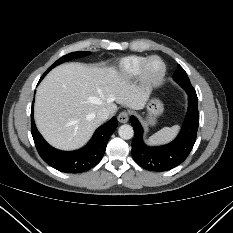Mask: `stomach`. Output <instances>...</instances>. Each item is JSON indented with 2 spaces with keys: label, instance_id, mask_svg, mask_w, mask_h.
I'll return each mask as SVG.
<instances>
[{
  "label": "stomach",
  "instance_id": "1",
  "mask_svg": "<svg viewBox=\"0 0 233 233\" xmlns=\"http://www.w3.org/2000/svg\"><path fill=\"white\" fill-rule=\"evenodd\" d=\"M163 112V104L159 99L152 98L147 103L146 125H154L156 118Z\"/></svg>",
  "mask_w": 233,
  "mask_h": 233
}]
</instances>
